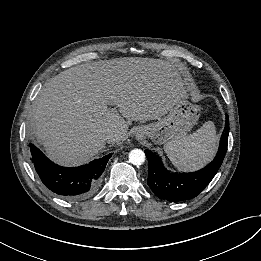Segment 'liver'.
Wrapping results in <instances>:
<instances>
[{
	"label": "liver",
	"mask_w": 261,
	"mask_h": 261,
	"mask_svg": "<svg viewBox=\"0 0 261 261\" xmlns=\"http://www.w3.org/2000/svg\"><path fill=\"white\" fill-rule=\"evenodd\" d=\"M179 65L124 57L84 63L59 73L32 107L30 130L54 162L75 166L91 159L114 130L119 143L128 122L159 119L187 95ZM111 106H114L112 108Z\"/></svg>",
	"instance_id": "1"
}]
</instances>
